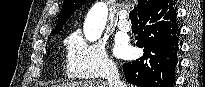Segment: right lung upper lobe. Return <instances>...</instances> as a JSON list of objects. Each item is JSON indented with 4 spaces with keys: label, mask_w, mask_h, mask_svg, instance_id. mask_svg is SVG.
I'll list each match as a JSON object with an SVG mask.
<instances>
[{
    "label": "right lung upper lobe",
    "mask_w": 205,
    "mask_h": 87,
    "mask_svg": "<svg viewBox=\"0 0 205 87\" xmlns=\"http://www.w3.org/2000/svg\"><path fill=\"white\" fill-rule=\"evenodd\" d=\"M160 0H139L137 5V10L139 16L156 5ZM86 0H64L60 16L57 21V25L52 33H59L62 29L63 25L66 23L68 18L72 15V13L79 7H81Z\"/></svg>",
    "instance_id": "right-lung-upper-lobe-1"
}]
</instances>
